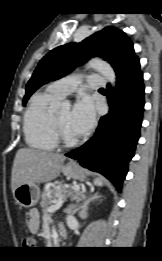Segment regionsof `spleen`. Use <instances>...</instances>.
<instances>
[{"instance_id": "1", "label": "spleen", "mask_w": 162, "mask_h": 261, "mask_svg": "<svg viewBox=\"0 0 162 261\" xmlns=\"http://www.w3.org/2000/svg\"><path fill=\"white\" fill-rule=\"evenodd\" d=\"M94 184H95L96 186H102V180H101L100 178H96V179L94 180Z\"/></svg>"}]
</instances>
